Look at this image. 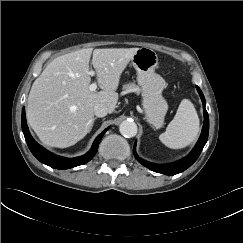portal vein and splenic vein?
<instances>
[{"mask_svg": "<svg viewBox=\"0 0 243 243\" xmlns=\"http://www.w3.org/2000/svg\"><path fill=\"white\" fill-rule=\"evenodd\" d=\"M90 74L91 75H94V72L93 71H90ZM97 89V84L96 82L92 83L90 86H89V90L90 91H95Z\"/></svg>", "mask_w": 243, "mask_h": 243, "instance_id": "obj_1", "label": "portal vein and splenic vein"}]
</instances>
